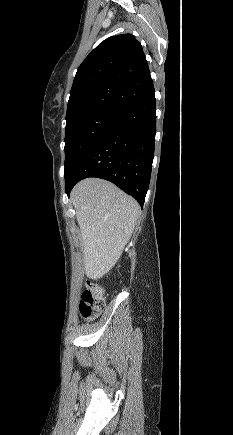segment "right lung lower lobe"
I'll return each instance as SVG.
<instances>
[{"mask_svg":"<svg viewBox=\"0 0 233 435\" xmlns=\"http://www.w3.org/2000/svg\"><path fill=\"white\" fill-rule=\"evenodd\" d=\"M156 133V100L152 85L126 108L79 159L65 177L69 195L87 177L108 180L143 206L148 190Z\"/></svg>","mask_w":233,"mask_h":435,"instance_id":"obj_1","label":"right lung lower lobe"}]
</instances>
